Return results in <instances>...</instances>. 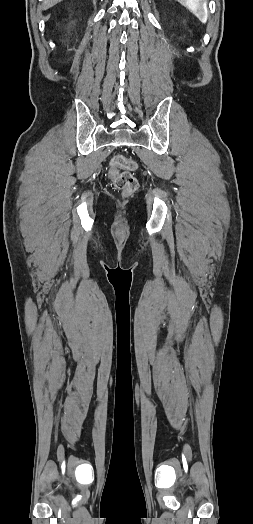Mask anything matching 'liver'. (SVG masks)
Instances as JSON below:
<instances>
[{"label": "liver", "mask_w": 253, "mask_h": 524, "mask_svg": "<svg viewBox=\"0 0 253 524\" xmlns=\"http://www.w3.org/2000/svg\"><path fill=\"white\" fill-rule=\"evenodd\" d=\"M62 0H44L42 4V8L44 10L49 9L50 7H53L54 5L58 4Z\"/></svg>", "instance_id": "liver-1"}]
</instances>
